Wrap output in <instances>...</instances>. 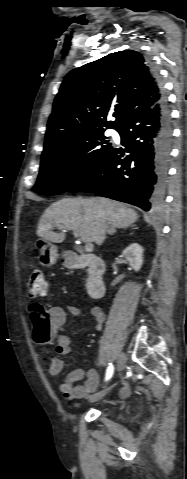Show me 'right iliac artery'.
I'll list each match as a JSON object with an SVG mask.
<instances>
[{"instance_id": "right-iliac-artery-1", "label": "right iliac artery", "mask_w": 187, "mask_h": 479, "mask_svg": "<svg viewBox=\"0 0 187 479\" xmlns=\"http://www.w3.org/2000/svg\"><path fill=\"white\" fill-rule=\"evenodd\" d=\"M113 372H114V366L112 365V363H109V366L106 371V378H105L106 381L112 377Z\"/></svg>"}]
</instances>
